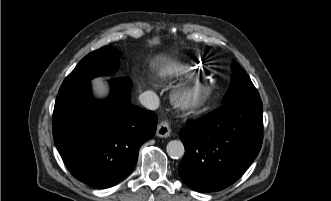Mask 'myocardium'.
Returning a JSON list of instances; mask_svg holds the SVG:
<instances>
[{
  "label": "myocardium",
  "instance_id": "f54148a6",
  "mask_svg": "<svg viewBox=\"0 0 331 201\" xmlns=\"http://www.w3.org/2000/svg\"><path fill=\"white\" fill-rule=\"evenodd\" d=\"M194 91L191 98L187 93ZM207 88L198 85L196 82H190L177 86L172 92L173 103L185 111H193L200 108L206 101Z\"/></svg>",
  "mask_w": 331,
  "mask_h": 201
}]
</instances>
